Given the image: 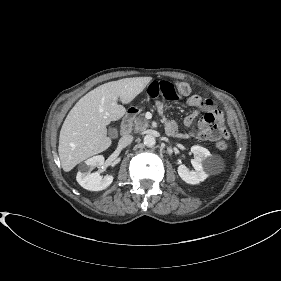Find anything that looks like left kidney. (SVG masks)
Instances as JSON below:
<instances>
[{
    "instance_id": "5707ae66",
    "label": "left kidney",
    "mask_w": 281,
    "mask_h": 281,
    "mask_svg": "<svg viewBox=\"0 0 281 281\" xmlns=\"http://www.w3.org/2000/svg\"><path fill=\"white\" fill-rule=\"evenodd\" d=\"M191 152L194 159L191 160L194 170L190 171L185 165L178 167L180 178L188 184H199L208 177V171L211 164L210 152L202 146H192Z\"/></svg>"
}]
</instances>
